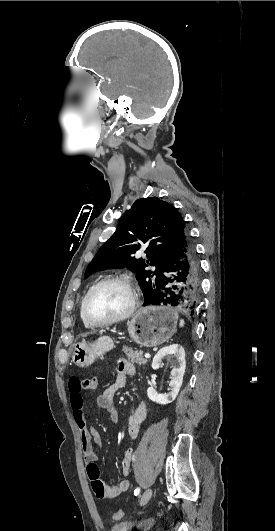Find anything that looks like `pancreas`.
Masks as SVG:
<instances>
[{
    "label": "pancreas",
    "instance_id": "obj_1",
    "mask_svg": "<svg viewBox=\"0 0 275 531\" xmlns=\"http://www.w3.org/2000/svg\"><path fill=\"white\" fill-rule=\"evenodd\" d=\"M128 361L131 363H136V365H146L147 359H143V351H136V349H131V347H123Z\"/></svg>",
    "mask_w": 275,
    "mask_h": 531
}]
</instances>
